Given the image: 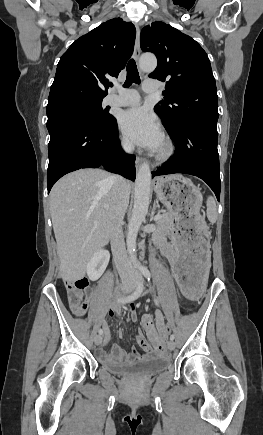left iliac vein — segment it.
Wrapping results in <instances>:
<instances>
[{
    "label": "left iliac vein",
    "mask_w": 263,
    "mask_h": 435,
    "mask_svg": "<svg viewBox=\"0 0 263 435\" xmlns=\"http://www.w3.org/2000/svg\"><path fill=\"white\" fill-rule=\"evenodd\" d=\"M140 282L143 284V280H142L141 277H140ZM168 349H169V350H174V349H175V342H174V341L170 340V341L168 342Z\"/></svg>",
    "instance_id": "4c4485c4"
}]
</instances>
